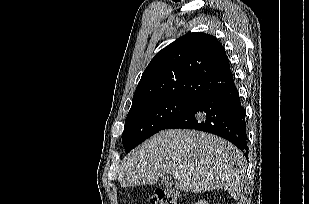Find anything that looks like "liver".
Here are the masks:
<instances>
[{
	"mask_svg": "<svg viewBox=\"0 0 309 204\" xmlns=\"http://www.w3.org/2000/svg\"><path fill=\"white\" fill-rule=\"evenodd\" d=\"M246 162L228 141L195 130L161 131L127 155L120 166L121 187L153 185L171 174L185 192L228 191L237 200L243 189Z\"/></svg>",
	"mask_w": 309,
	"mask_h": 204,
	"instance_id": "6515ba94",
	"label": "liver"
}]
</instances>
